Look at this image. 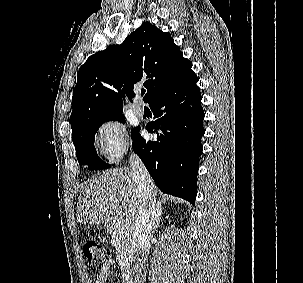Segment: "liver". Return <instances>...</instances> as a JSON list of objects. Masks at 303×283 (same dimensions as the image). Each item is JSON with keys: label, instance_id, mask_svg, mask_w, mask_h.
Wrapping results in <instances>:
<instances>
[{"label": "liver", "instance_id": "1", "mask_svg": "<svg viewBox=\"0 0 303 283\" xmlns=\"http://www.w3.org/2000/svg\"><path fill=\"white\" fill-rule=\"evenodd\" d=\"M158 190L154 191L156 196ZM162 201H158L161 207ZM138 190L129 168L109 169L83 186L77 205L80 224H100L110 220L112 210L120 208L124 218L135 226L138 220ZM129 225V226H130Z\"/></svg>", "mask_w": 303, "mask_h": 283}]
</instances>
